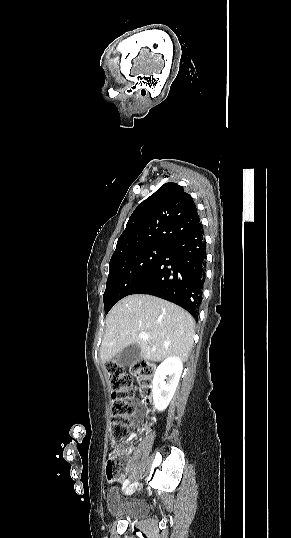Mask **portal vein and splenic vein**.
Segmentation results:
<instances>
[{"mask_svg":"<svg viewBox=\"0 0 291 538\" xmlns=\"http://www.w3.org/2000/svg\"><path fill=\"white\" fill-rule=\"evenodd\" d=\"M139 336H140L141 338H143V339H146V340L148 339V335L145 334V333H140Z\"/></svg>","mask_w":291,"mask_h":538,"instance_id":"18ae733b","label":"portal vein and splenic vein"}]
</instances>
